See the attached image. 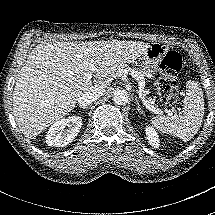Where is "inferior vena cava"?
Here are the masks:
<instances>
[{
	"instance_id": "602c4592",
	"label": "inferior vena cava",
	"mask_w": 215,
	"mask_h": 215,
	"mask_svg": "<svg viewBox=\"0 0 215 215\" xmlns=\"http://www.w3.org/2000/svg\"><path fill=\"white\" fill-rule=\"evenodd\" d=\"M104 92V90H97L95 92L83 93L78 97L77 102L83 107L89 106L91 103L102 97L104 95Z\"/></svg>"
}]
</instances>
